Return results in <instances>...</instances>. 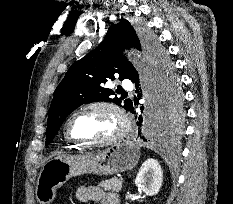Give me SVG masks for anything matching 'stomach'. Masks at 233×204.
Segmentation results:
<instances>
[{
    "instance_id": "stomach-1",
    "label": "stomach",
    "mask_w": 233,
    "mask_h": 204,
    "mask_svg": "<svg viewBox=\"0 0 233 204\" xmlns=\"http://www.w3.org/2000/svg\"><path fill=\"white\" fill-rule=\"evenodd\" d=\"M137 143L122 141L103 151L89 155L59 156L41 168L36 185L39 204H51L56 191L70 178L83 175H112L133 169L140 159Z\"/></svg>"
}]
</instances>
